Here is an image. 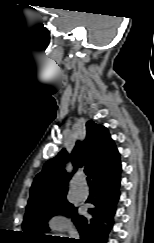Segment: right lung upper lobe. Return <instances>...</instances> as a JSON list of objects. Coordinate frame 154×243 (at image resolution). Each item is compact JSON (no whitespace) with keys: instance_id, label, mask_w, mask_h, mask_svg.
Returning <instances> with one entry per match:
<instances>
[{"instance_id":"cb5924a9","label":"right lung upper lobe","mask_w":154,"mask_h":243,"mask_svg":"<svg viewBox=\"0 0 154 243\" xmlns=\"http://www.w3.org/2000/svg\"><path fill=\"white\" fill-rule=\"evenodd\" d=\"M86 129V139L77 141L71 154L63 149L46 162L34 179L27 209L66 197L71 174L66 172L65 163L69 159L74 167L73 173L84 168L91 175L92 183L109 175L120 165L119 153L108 129L93 121L86 123Z\"/></svg>"}]
</instances>
